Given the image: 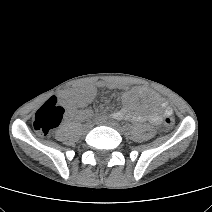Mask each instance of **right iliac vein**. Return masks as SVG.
I'll return each instance as SVG.
<instances>
[{"instance_id":"63e3f726","label":"right iliac vein","mask_w":212,"mask_h":212,"mask_svg":"<svg viewBox=\"0 0 212 212\" xmlns=\"http://www.w3.org/2000/svg\"><path fill=\"white\" fill-rule=\"evenodd\" d=\"M93 128V123L88 122L83 126V132L87 133Z\"/></svg>"}]
</instances>
